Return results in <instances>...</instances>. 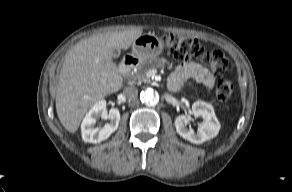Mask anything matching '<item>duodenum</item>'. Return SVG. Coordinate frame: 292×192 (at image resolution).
<instances>
[{"mask_svg": "<svg viewBox=\"0 0 292 192\" xmlns=\"http://www.w3.org/2000/svg\"><path fill=\"white\" fill-rule=\"evenodd\" d=\"M138 64V59L134 56H126L120 64V73L127 74L134 66Z\"/></svg>", "mask_w": 292, "mask_h": 192, "instance_id": "duodenum-1", "label": "duodenum"}]
</instances>
